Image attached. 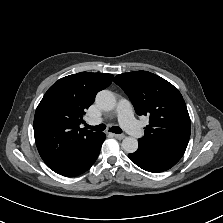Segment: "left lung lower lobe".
Instances as JSON below:
<instances>
[{"label": "left lung lower lobe", "mask_w": 223, "mask_h": 223, "mask_svg": "<svg viewBox=\"0 0 223 223\" xmlns=\"http://www.w3.org/2000/svg\"><path fill=\"white\" fill-rule=\"evenodd\" d=\"M128 157L140 168L153 173L166 171L180 160V157L158 151L142 144H139L136 152L128 154Z\"/></svg>", "instance_id": "left-lung-lower-lobe-1"}]
</instances>
